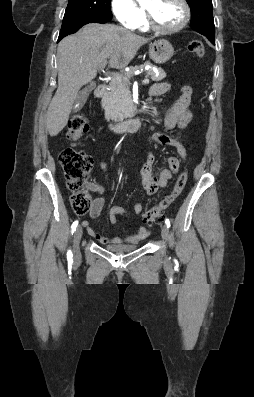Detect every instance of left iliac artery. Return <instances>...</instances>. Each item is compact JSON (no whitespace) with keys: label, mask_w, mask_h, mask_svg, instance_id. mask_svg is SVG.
<instances>
[{"label":"left iliac artery","mask_w":254,"mask_h":397,"mask_svg":"<svg viewBox=\"0 0 254 397\" xmlns=\"http://www.w3.org/2000/svg\"><path fill=\"white\" fill-rule=\"evenodd\" d=\"M165 224H166V226L169 228L170 227V221H169V219H166L165 220Z\"/></svg>","instance_id":"left-iliac-artery-1"}]
</instances>
